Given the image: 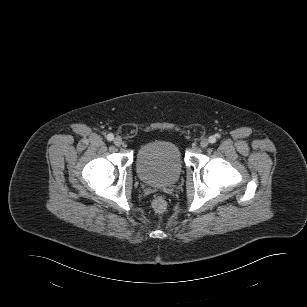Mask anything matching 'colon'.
I'll use <instances>...</instances> for the list:
<instances>
[{"mask_svg":"<svg viewBox=\"0 0 307 307\" xmlns=\"http://www.w3.org/2000/svg\"><path fill=\"white\" fill-rule=\"evenodd\" d=\"M166 201L163 197L157 196L152 202V208L156 213H162L166 210Z\"/></svg>","mask_w":307,"mask_h":307,"instance_id":"colon-1","label":"colon"}]
</instances>
